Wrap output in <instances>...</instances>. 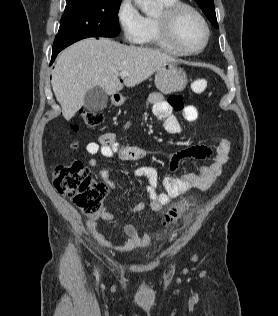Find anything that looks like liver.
Listing matches in <instances>:
<instances>
[{
    "label": "liver",
    "instance_id": "liver-1",
    "mask_svg": "<svg viewBox=\"0 0 278 316\" xmlns=\"http://www.w3.org/2000/svg\"><path fill=\"white\" fill-rule=\"evenodd\" d=\"M176 60L160 51L126 46L107 38H87L61 52L52 72V88L70 120L84 105L88 90L100 86L107 95L134 87L148 79L161 66ZM121 71L128 75L119 79Z\"/></svg>",
    "mask_w": 278,
    "mask_h": 316
}]
</instances>
